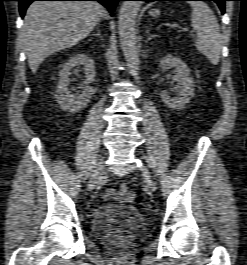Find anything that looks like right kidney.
Segmentation results:
<instances>
[{"label":"right kidney","instance_id":"1","mask_svg":"<svg viewBox=\"0 0 247 265\" xmlns=\"http://www.w3.org/2000/svg\"><path fill=\"white\" fill-rule=\"evenodd\" d=\"M82 66L85 72V81L82 85L87 86L95 80V66L93 60L86 54H77L62 64L59 72V82L56 88V99L64 111L77 112L85 108L90 102V95L83 92L79 95H71L68 89L71 69Z\"/></svg>","mask_w":247,"mask_h":265}]
</instances>
